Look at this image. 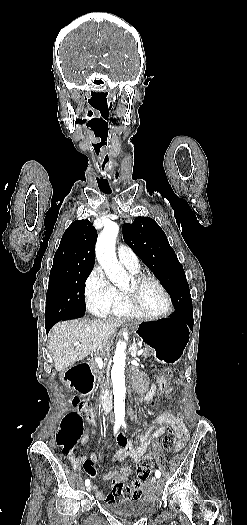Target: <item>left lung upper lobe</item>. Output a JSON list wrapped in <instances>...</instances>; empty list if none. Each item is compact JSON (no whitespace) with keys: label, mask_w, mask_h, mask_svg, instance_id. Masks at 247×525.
I'll use <instances>...</instances> for the list:
<instances>
[{"label":"left lung upper lobe","mask_w":247,"mask_h":525,"mask_svg":"<svg viewBox=\"0 0 247 525\" xmlns=\"http://www.w3.org/2000/svg\"><path fill=\"white\" fill-rule=\"evenodd\" d=\"M129 247L159 279L171 296L175 310L191 308L192 300L184 269L162 228L149 217H136L123 225Z\"/></svg>","instance_id":"1"}]
</instances>
